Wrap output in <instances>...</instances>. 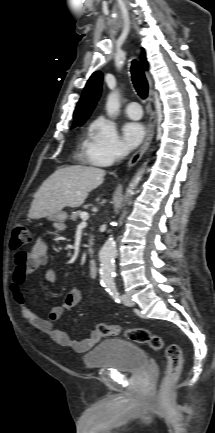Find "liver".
I'll list each match as a JSON object with an SVG mask.
<instances>
[{
    "label": "liver",
    "mask_w": 215,
    "mask_h": 433,
    "mask_svg": "<svg viewBox=\"0 0 215 433\" xmlns=\"http://www.w3.org/2000/svg\"><path fill=\"white\" fill-rule=\"evenodd\" d=\"M105 171L96 167L72 165L57 169L34 195L29 218L50 217L65 207H79L88 193L100 186Z\"/></svg>",
    "instance_id": "liver-1"
}]
</instances>
